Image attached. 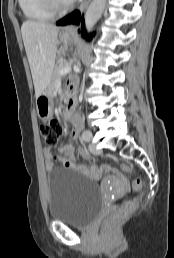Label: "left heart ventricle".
<instances>
[{"label":"left heart ventricle","instance_id":"1","mask_svg":"<svg viewBox=\"0 0 174 258\" xmlns=\"http://www.w3.org/2000/svg\"><path fill=\"white\" fill-rule=\"evenodd\" d=\"M60 1H62V2H68L67 0H60Z\"/></svg>","mask_w":174,"mask_h":258}]
</instances>
